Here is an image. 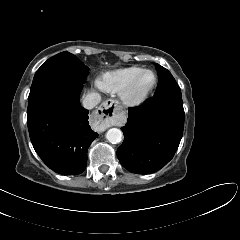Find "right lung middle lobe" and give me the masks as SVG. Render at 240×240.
<instances>
[{"label":"right lung middle lobe","instance_id":"obj_1","mask_svg":"<svg viewBox=\"0 0 240 240\" xmlns=\"http://www.w3.org/2000/svg\"><path fill=\"white\" fill-rule=\"evenodd\" d=\"M88 73L89 68L76 56L69 52H61L48 59L37 70L28 99L34 97L40 90L50 84L59 82L83 84Z\"/></svg>","mask_w":240,"mask_h":240}]
</instances>
